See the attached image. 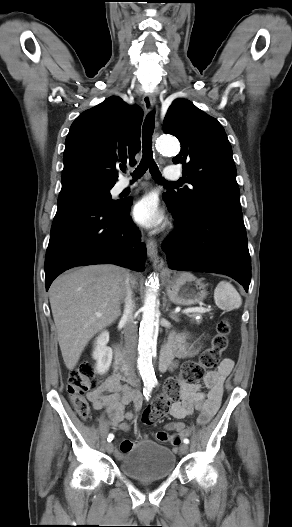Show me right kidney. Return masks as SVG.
I'll return each instance as SVG.
<instances>
[{
	"instance_id": "ca27d5eb",
	"label": "right kidney",
	"mask_w": 292,
	"mask_h": 527,
	"mask_svg": "<svg viewBox=\"0 0 292 527\" xmlns=\"http://www.w3.org/2000/svg\"><path fill=\"white\" fill-rule=\"evenodd\" d=\"M109 342V333L102 332L96 342L93 351V358L97 361L96 370L99 374H104L108 371L112 361V349L107 347Z\"/></svg>"
}]
</instances>
